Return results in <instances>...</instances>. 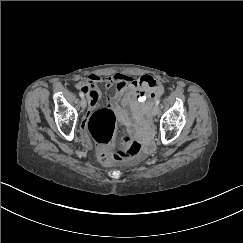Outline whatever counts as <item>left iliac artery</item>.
<instances>
[{"label": "left iliac artery", "instance_id": "obj_1", "mask_svg": "<svg viewBox=\"0 0 243 243\" xmlns=\"http://www.w3.org/2000/svg\"><path fill=\"white\" fill-rule=\"evenodd\" d=\"M159 103H160V99H158V100H156V105L158 106L159 105Z\"/></svg>", "mask_w": 243, "mask_h": 243}]
</instances>
